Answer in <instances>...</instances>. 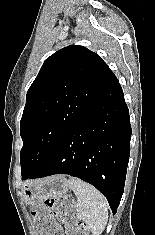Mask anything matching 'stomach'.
Segmentation results:
<instances>
[{"label": "stomach", "mask_w": 155, "mask_h": 235, "mask_svg": "<svg viewBox=\"0 0 155 235\" xmlns=\"http://www.w3.org/2000/svg\"><path fill=\"white\" fill-rule=\"evenodd\" d=\"M68 189V181L63 176H54L25 185L23 195L26 204H34L62 196Z\"/></svg>", "instance_id": "1"}]
</instances>
